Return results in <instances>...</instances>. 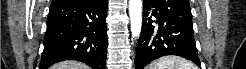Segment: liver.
Listing matches in <instances>:
<instances>
[{"instance_id": "liver-1", "label": "liver", "mask_w": 246, "mask_h": 69, "mask_svg": "<svg viewBox=\"0 0 246 69\" xmlns=\"http://www.w3.org/2000/svg\"><path fill=\"white\" fill-rule=\"evenodd\" d=\"M52 69H88L86 65L77 61H64L52 67Z\"/></svg>"}]
</instances>
